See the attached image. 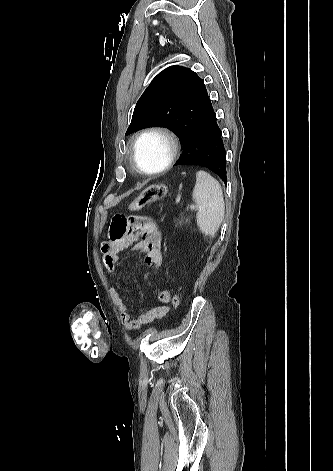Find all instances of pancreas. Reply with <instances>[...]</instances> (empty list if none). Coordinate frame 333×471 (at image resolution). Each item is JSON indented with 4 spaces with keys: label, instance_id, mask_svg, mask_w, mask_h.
I'll return each instance as SVG.
<instances>
[{
    "label": "pancreas",
    "instance_id": "obj_1",
    "mask_svg": "<svg viewBox=\"0 0 333 471\" xmlns=\"http://www.w3.org/2000/svg\"><path fill=\"white\" fill-rule=\"evenodd\" d=\"M190 221V218L189 217H186V216H181L179 219H178V222L181 223V224H187L188 222Z\"/></svg>",
    "mask_w": 333,
    "mask_h": 471
}]
</instances>
